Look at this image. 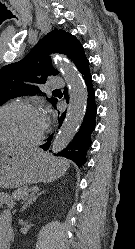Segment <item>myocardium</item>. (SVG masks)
Wrapping results in <instances>:
<instances>
[{
    "mask_svg": "<svg viewBox=\"0 0 135 249\" xmlns=\"http://www.w3.org/2000/svg\"><path fill=\"white\" fill-rule=\"evenodd\" d=\"M12 106L25 107V108L33 109V110H36V111H39L40 113H42L44 116L43 129H42L41 133L35 139L19 140V139H10V138H8V139L0 138V144L18 145V146H23V147H32V146L38 145L44 139L45 134L47 133V130H48L47 120H46L45 113H44V110L42 109V107L34 102L16 100V101H11V102H8V103L2 105L0 107V112H2L6 108L12 107Z\"/></svg>",
    "mask_w": 135,
    "mask_h": 249,
    "instance_id": "myocardium-1",
    "label": "myocardium"
}]
</instances>
